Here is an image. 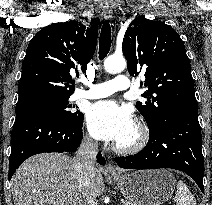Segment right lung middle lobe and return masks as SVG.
I'll return each mask as SVG.
<instances>
[{
  "label": "right lung middle lobe",
  "mask_w": 212,
  "mask_h": 205,
  "mask_svg": "<svg viewBox=\"0 0 212 205\" xmlns=\"http://www.w3.org/2000/svg\"><path fill=\"white\" fill-rule=\"evenodd\" d=\"M70 95L54 94V93H33L23 97H19L16 114L26 111H46L61 117L72 124H78L83 121V114L80 111L73 112L69 105L68 99Z\"/></svg>",
  "instance_id": "1"
}]
</instances>
